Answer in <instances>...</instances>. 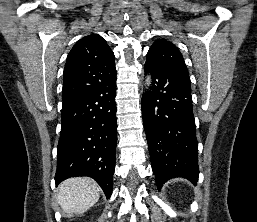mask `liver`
<instances>
[{
    "mask_svg": "<svg viewBox=\"0 0 257 222\" xmlns=\"http://www.w3.org/2000/svg\"><path fill=\"white\" fill-rule=\"evenodd\" d=\"M100 187L88 177H73L59 185L58 203L69 216L83 214L98 200Z\"/></svg>",
    "mask_w": 257,
    "mask_h": 222,
    "instance_id": "1",
    "label": "liver"
}]
</instances>
